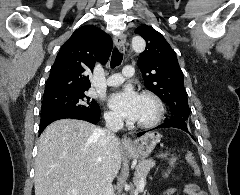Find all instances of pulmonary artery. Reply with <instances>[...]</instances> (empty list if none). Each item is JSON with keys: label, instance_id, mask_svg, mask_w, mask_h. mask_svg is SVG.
<instances>
[{"label": "pulmonary artery", "instance_id": "pulmonary-artery-1", "mask_svg": "<svg viewBox=\"0 0 240 195\" xmlns=\"http://www.w3.org/2000/svg\"><path fill=\"white\" fill-rule=\"evenodd\" d=\"M124 69L122 70V73L125 76H134L133 66L131 65H124ZM127 78V77H126ZM123 81L122 75H111L110 78L107 79L108 85H117Z\"/></svg>", "mask_w": 240, "mask_h": 195}]
</instances>
